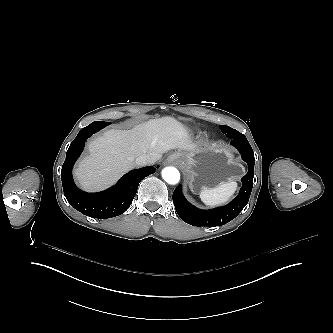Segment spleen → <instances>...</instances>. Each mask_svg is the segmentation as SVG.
<instances>
[{"label":"spleen","instance_id":"1","mask_svg":"<svg viewBox=\"0 0 333 333\" xmlns=\"http://www.w3.org/2000/svg\"><path fill=\"white\" fill-rule=\"evenodd\" d=\"M236 188L237 184L235 181H222L214 187L204 188L200 192V197L206 204H219L227 201Z\"/></svg>","mask_w":333,"mask_h":333}]
</instances>
